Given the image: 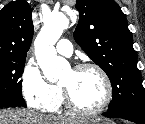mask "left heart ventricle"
Segmentation results:
<instances>
[{
	"mask_svg": "<svg viewBox=\"0 0 145 124\" xmlns=\"http://www.w3.org/2000/svg\"><path fill=\"white\" fill-rule=\"evenodd\" d=\"M75 103L84 109H94L103 101L105 86L101 76L92 69L75 72L67 71L60 81Z\"/></svg>",
	"mask_w": 145,
	"mask_h": 124,
	"instance_id": "left-heart-ventricle-1",
	"label": "left heart ventricle"
}]
</instances>
